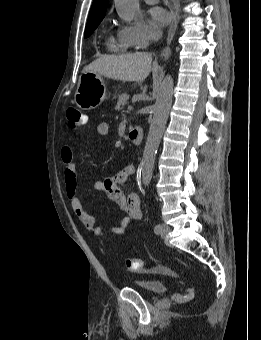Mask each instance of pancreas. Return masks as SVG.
<instances>
[{
	"label": "pancreas",
	"instance_id": "pancreas-1",
	"mask_svg": "<svg viewBox=\"0 0 261 340\" xmlns=\"http://www.w3.org/2000/svg\"><path fill=\"white\" fill-rule=\"evenodd\" d=\"M128 99H129V95L126 93L119 95L115 110H121L123 106L127 104Z\"/></svg>",
	"mask_w": 261,
	"mask_h": 340
}]
</instances>
